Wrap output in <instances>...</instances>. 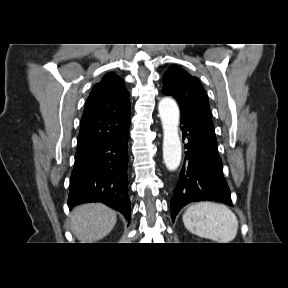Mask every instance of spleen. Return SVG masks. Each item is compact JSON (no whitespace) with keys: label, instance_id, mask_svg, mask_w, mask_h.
<instances>
[{"label":"spleen","instance_id":"3e777b00","mask_svg":"<svg viewBox=\"0 0 288 288\" xmlns=\"http://www.w3.org/2000/svg\"><path fill=\"white\" fill-rule=\"evenodd\" d=\"M182 219L192 234L218 243H229L237 235V217L223 204L196 203L185 211Z\"/></svg>","mask_w":288,"mask_h":288}]
</instances>
